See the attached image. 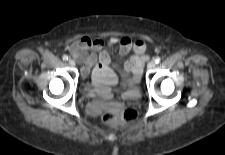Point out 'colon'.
<instances>
[{"label":"colon","mask_w":225,"mask_h":155,"mask_svg":"<svg viewBox=\"0 0 225 155\" xmlns=\"http://www.w3.org/2000/svg\"><path fill=\"white\" fill-rule=\"evenodd\" d=\"M102 121L108 126H115L123 122L134 121L137 118V111L133 107H123L105 111Z\"/></svg>","instance_id":"5ec220e1"}]
</instances>
